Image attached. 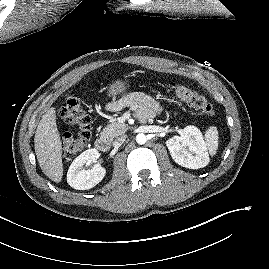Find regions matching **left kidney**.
I'll return each mask as SVG.
<instances>
[{"label":"left kidney","instance_id":"left-kidney-1","mask_svg":"<svg viewBox=\"0 0 269 269\" xmlns=\"http://www.w3.org/2000/svg\"><path fill=\"white\" fill-rule=\"evenodd\" d=\"M172 159L182 167L203 168L209 163V155L201 131L195 126H187L180 136L166 141Z\"/></svg>","mask_w":269,"mask_h":269}]
</instances>
